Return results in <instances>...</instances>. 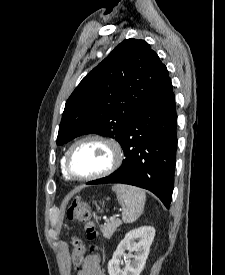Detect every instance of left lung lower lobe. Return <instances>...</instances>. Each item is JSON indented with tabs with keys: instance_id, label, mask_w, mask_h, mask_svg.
I'll return each instance as SVG.
<instances>
[{
	"instance_id": "left-lung-lower-lobe-1",
	"label": "left lung lower lobe",
	"mask_w": 225,
	"mask_h": 275,
	"mask_svg": "<svg viewBox=\"0 0 225 275\" xmlns=\"http://www.w3.org/2000/svg\"><path fill=\"white\" fill-rule=\"evenodd\" d=\"M177 114L170 77L145 103L121 141L125 159L108 177L87 184L124 183L153 192L170 207L174 188Z\"/></svg>"
}]
</instances>
